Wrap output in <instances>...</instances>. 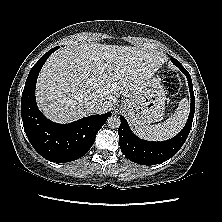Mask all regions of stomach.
<instances>
[{"mask_svg": "<svg viewBox=\"0 0 222 222\" xmlns=\"http://www.w3.org/2000/svg\"><path fill=\"white\" fill-rule=\"evenodd\" d=\"M166 95L158 77L150 78L136 96L122 101L123 109L134 126L157 122L165 111Z\"/></svg>", "mask_w": 222, "mask_h": 222, "instance_id": "1", "label": "stomach"}]
</instances>
